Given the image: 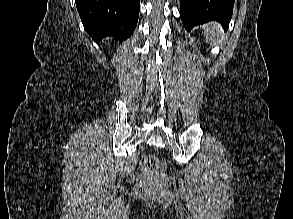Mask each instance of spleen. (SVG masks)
Wrapping results in <instances>:
<instances>
[{
  "instance_id": "3e777b00",
  "label": "spleen",
  "mask_w": 293,
  "mask_h": 219,
  "mask_svg": "<svg viewBox=\"0 0 293 219\" xmlns=\"http://www.w3.org/2000/svg\"><path fill=\"white\" fill-rule=\"evenodd\" d=\"M204 35L210 44L216 45L221 36V27L216 22L208 23L204 27Z\"/></svg>"
}]
</instances>
